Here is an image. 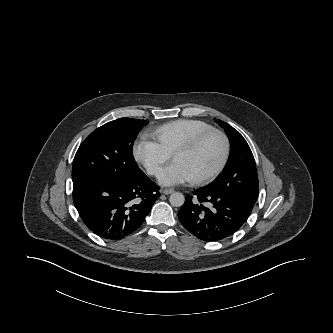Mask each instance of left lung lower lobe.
<instances>
[{"instance_id":"obj_1","label":"left lung lower lobe","mask_w":333,"mask_h":333,"mask_svg":"<svg viewBox=\"0 0 333 333\" xmlns=\"http://www.w3.org/2000/svg\"><path fill=\"white\" fill-rule=\"evenodd\" d=\"M187 196L178 212L183 227L204 241H219L234 234L247 220L253 207L225 191L205 187Z\"/></svg>"}]
</instances>
